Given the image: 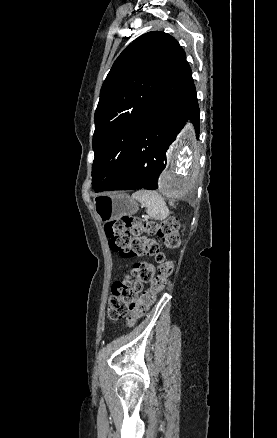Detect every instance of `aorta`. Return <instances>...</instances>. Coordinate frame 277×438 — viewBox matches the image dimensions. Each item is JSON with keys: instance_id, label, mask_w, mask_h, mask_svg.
<instances>
[{"instance_id": "1", "label": "aorta", "mask_w": 277, "mask_h": 438, "mask_svg": "<svg viewBox=\"0 0 277 438\" xmlns=\"http://www.w3.org/2000/svg\"><path fill=\"white\" fill-rule=\"evenodd\" d=\"M199 174V155L194 133L187 127L173 143L169 167L159 179V189L168 197L181 198L195 187Z\"/></svg>"}]
</instances>
